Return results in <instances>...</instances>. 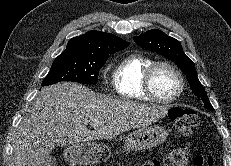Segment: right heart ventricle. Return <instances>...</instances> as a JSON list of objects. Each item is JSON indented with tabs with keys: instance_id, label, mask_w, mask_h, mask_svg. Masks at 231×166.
<instances>
[{
	"instance_id": "right-heart-ventricle-1",
	"label": "right heart ventricle",
	"mask_w": 231,
	"mask_h": 166,
	"mask_svg": "<svg viewBox=\"0 0 231 166\" xmlns=\"http://www.w3.org/2000/svg\"><path fill=\"white\" fill-rule=\"evenodd\" d=\"M153 60L142 54H130L115 67L112 84L116 94L125 100H148L143 90V76Z\"/></svg>"
}]
</instances>
